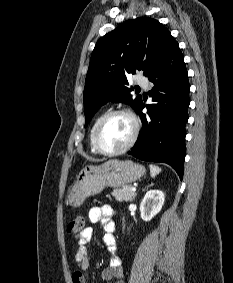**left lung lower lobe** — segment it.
<instances>
[{
    "label": "left lung lower lobe",
    "instance_id": "0a47b994",
    "mask_svg": "<svg viewBox=\"0 0 233 283\" xmlns=\"http://www.w3.org/2000/svg\"><path fill=\"white\" fill-rule=\"evenodd\" d=\"M147 77L153 83L149 93L154 103L146 106L147 116L142 113L145 105L140 104L137 113L143 128L128 154L145 161L167 163L182 179L190 86L178 43Z\"/></svg>",
    "mask_w": 233,
    "mask_h": 283
}]
</instances>
